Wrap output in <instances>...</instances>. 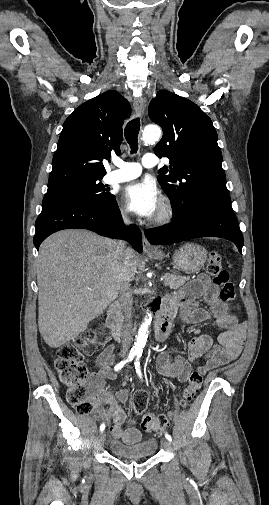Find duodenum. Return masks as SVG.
Instances as JSON below:
<instances>
[{"mask_svg": "<svg viewBox=\"0 0 269 505\" xmlns=\"http://www.w3.org/2000/svg\"><path fill=\"white\" fill-rule=\"evenodd\" d=\"M122 305L120 302H115L109 309L107 317V325L111 329L112 335L116 340L122 338ZM175 308L167 302V300L159 303L158 313L155 320V337L158 341L166 339L174 316Z\"/></svg>", "mask_w": 269, "mask_h": 505, "instance_id": "duodenum-1", "label": "duodenum"}]
</instances>
